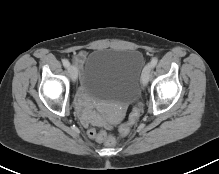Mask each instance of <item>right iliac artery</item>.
Returning a JSON list of instances; mask_svg holds the SVG:
<instances>
[{
	"instance_id": "right-iliac-artery-1",
	"label": "right iliac artery",
	"mask_w": 219,
	"mask_h": 174,
	"mask_svg": "<svg viewBox=\"0 0 219 174\" xmlns=\"http://www.w3.org/2000/svg\"><path fill=\"white\" fill-rule=\"evenodd\" d=\"M63 65H64L65 68H68L70 63H69V61L67 59H64L63 60Z\"/></svg>"
}]
</instances>
